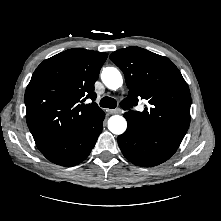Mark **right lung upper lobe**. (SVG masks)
I'll return each instance as SVG.
<instances>
[{
	"label": "right lung upper lobe",
	"instance_id": "cb5924a9",
	"mask_svg": "<svg viewBox=\"0 0 221 221\" xmlns=\"http://www.w3.org/2000/svg\"><path fill=\"white\" fill-rule=\"evenodd\" d=\"M107 59L104 52L69 49L43 61L26 88V120L39 150L73 137L102 110L94 83Z\"/></svg>",
	"mask_w": 221,
	"mask_h": 221
}]
</instances>
